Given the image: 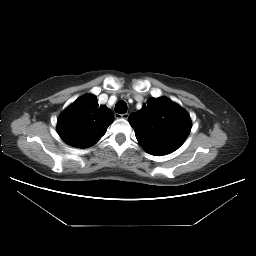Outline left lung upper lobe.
Wrapping results in <instances>:
<instances>
[{"instance_id":"left-lung-upper-lobe-1","label":"left lung upper lobe","mask_w":256,"mask_h":256,"mask_svg":"<svg viewBox=\"0 0 256 256\" xmlns=\"http://www.w3.org/2000/svg\"><path fill=\"white\" fill-rule=\"evenodd\" d=\"M128 121L141 146L157 156L176 150L191 130L188 114L166 98H150Z\"/></svg>"}]
</instances>
